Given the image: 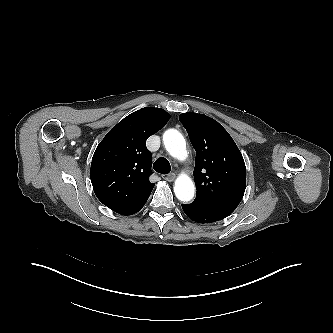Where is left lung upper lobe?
<instances>
[{
	"mask_svg": "<svg viewBox=\"0 0 333 333\" xmlns=\"http://www.w3.org/2000/svg\"><path fill=\"white\" fill-rule=\"evenodd\" d=\"M179 120L196 150L194 202L230 215L246 188V167L237 145L222 125L204 114L183 113Z\"/></svg>",
	"mask_w": 333,
	"mask_h": 333,
	"instance_id": "left-lung-upper-lobe-1",
	"label": "left lung upper lobe"
}]
</instances>
